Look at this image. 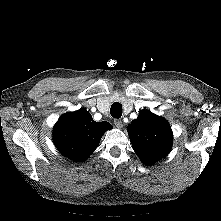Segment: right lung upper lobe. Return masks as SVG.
<instances>
[{
  "label": "right lung upper lobe",
  "mask_w": 221,
  "mask_h": 221,
  "mask_svg": "<svg viewBox=\"0 0 221 221\" xmlns=\"http://www.w3.org/2000/svg\"><path fill=\"white\" fill-rule=\"evenodd\" d=\"M111 128L106 121L95 122L91 114L82 108L60 117L53 130L54 144L70 159L84 161L97 148L104 132Z\"/></svg>",
  "instance_id": "right-lung-upper-lobe-1"
}]
</instances>
